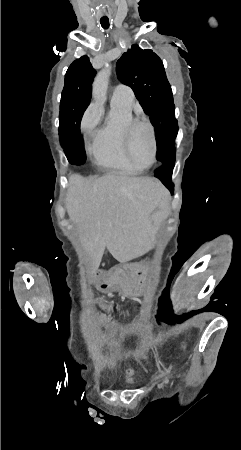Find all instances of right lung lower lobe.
Returning <instances> with one entry per match:
<instances>
[{"label":"right lung lower lobe","mask_w":241,"mask_h":450,"mask_svg":"<svg viewBox=\"0 0 241 450\" xmlns=\"http://www.w3.org/2000/svg\"><path fill=\"white\" fill-rule=\"evenodd\" d=\"M82 115L76 117L66 135L65 147L67 154H82L85 152L83 142L80 137V121Z\"/></svg>","instance_id":"98d812e1"}]
</instances>
